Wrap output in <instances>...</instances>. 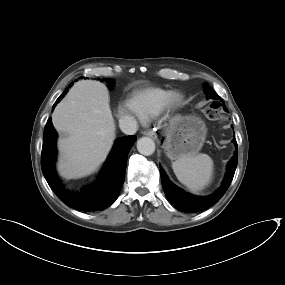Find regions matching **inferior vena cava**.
Wrapping results in <instances>:
<instances>
[{
    "label": "inferior vena cava",
    "mask_w": 285,
    "mask_h": 285,
    "mask_svg": "<svg viewBox=\"0 0 285 285\" xmlns=\"http://www.w3.org/2000/svg\"><path fill=\"white\" fill-rule=\"evenodd\" d=\"M119 127L121 131L127 135H133L138 130L136 120L131 116H123L119 119Z\"/></svg>",
    "instance_id": "1"
}]
</instances>
